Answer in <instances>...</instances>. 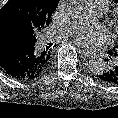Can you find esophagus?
Returning <instances> with one entry per match:
<instances>
[{
  "instance_id": "obj_1",
  "label": "esophagus",
  "mask_w": 118,
  "mask_h": 118,
  "mask_svg": "<svg viewBox=\"0 0 118 118\" xmlns=\"http://www.w3.org/2000/svg\"><path fill=\"white\" fill-rule=\"evenodd\" d=\"M81 52L83 53L84 56L91 58L92 57V53H90L89 51L85 50V49H81Z\"/></svg>"
}]
</instances>
